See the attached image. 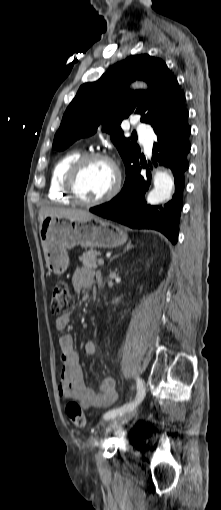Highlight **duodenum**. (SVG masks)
<instances>
[{"label":"duodenum","instance_id":"obj_1","mask_svg":"<svg viewBox=\"0 0 221 510\" xmlns=\"http://www.w3.org/2000/svg\"><path fill=\"white\" fill-rule=\"evenodd\" d=\"M98 282L101 283L102 282V277L101 276H98Z\"/></svg>","mask_w":221,"mask_h":510}]
</instances>
